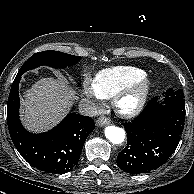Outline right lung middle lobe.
Here are the masks:
<instances>
[{
    "instance_id": "dd1d6c3e",
    "label": "right lung middle lobe",
    "mask_w": 194,
    "mask_h": 194,
    "mask_svg": "<svg viewBox=\"0 0 194 194\" xmlns=\"http://www.w3.org/2000/svg\"><path fill=\"white\" fill-rule=\"evenodd\" d=\"M80 59H81L80 56H74L59 51L53 50L42 51L39 53H35L33 56H31L23 64L19 72L23 74L26 71L34 69L41 65H47L56 68L57 67L64 68L66 66L74 65Z\"/></svg>"
}]
</instances>
